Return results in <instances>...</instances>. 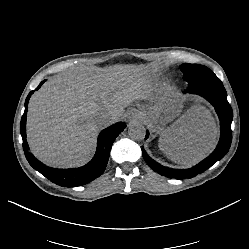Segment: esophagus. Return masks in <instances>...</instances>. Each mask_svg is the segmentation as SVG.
Here are the masks:
<instances>
[{
	"label": "esophagus",
	"instance_id": "34e87169",
	"mask_svg": "<svg viewBox=\"0 0 249 249\" xmlns=\"http://www.w3.org/2000/svg\"><path fill=\"white\" fill-rule=\"evenodd\" d=\"M125 117L128 123H133L135 121H140L142 119L140 113L137 110H128L125 113Z\"/></svg>",
	"mask_w": 249,
	"mask_h": 249
}]
</instances>
